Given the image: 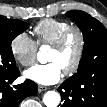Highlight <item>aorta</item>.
I'll use <instances>...</instances> for the list:
<instances>
[{
  "label": "aorta",
  "mask_w": 107,
  "mask_h": 107,
  "mask_svg": "<svg viewBox=\"0 0 107 107\" xmlns=\"http://www.w3.org/2000/svg\"><path fill=\"white\" fill-rule=\"evenodd\" d=\"M46 53L43 48L37 53V59L43 63L45 61ZM60 95L56 91H48L44 97L43 102L47 107H57L60 103Z\"/></svg>",
  "instance_id": "aorta-1"
}]
</instances>
